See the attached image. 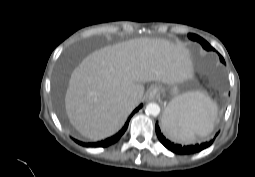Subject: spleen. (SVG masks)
I'll use <instances>...</instances> for the list:
<instances>
[{"instance_id":"3e777b00","label":"spleen","mask_w":255,"mask_h":177,"mask_svg":"<svg viewBox=\"0 0 255 177\" xmlns=\"http://www.w3.org/2000/svg\"><path fill=\"white\" fill-rule=\"evenodd\" d=\"M162 121L163 130L171 140L193 143L196 135L206 136L214 128L217 105L202 92H189L175 97Z\"/></svg>"}]
</instances>
